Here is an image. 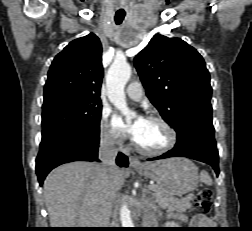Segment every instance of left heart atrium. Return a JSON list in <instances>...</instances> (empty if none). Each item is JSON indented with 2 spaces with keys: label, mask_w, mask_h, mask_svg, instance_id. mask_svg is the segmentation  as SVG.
Listing matches in <instances>:
<instances>
[{
  "label": "left heart atrium",
  "mask_w": 252,
  "mask_h": 231,
  "mask_svg": "<svg viewBox=\"0 0 252 231\" xmlns=\"http://www.w3.org/2000/svg\"><path fill=\"white\" fill-rule=\"evenodd\" d=\"M145 122H146V119L144 117H140L133 124L126 125L124 124L122 118L120 117L116 118L117 125L126 133L131 135L134 139H136L138 135L140 134Z\"/></svg>",
  "instance_id": "obj_1"
}]
</instances>
